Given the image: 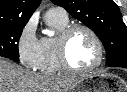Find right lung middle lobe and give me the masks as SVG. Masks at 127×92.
<instances>
[{"mask_svg":"<svg viewBox=\"0 0 127 92\" xmlns=\"http://www.w3.org/2000/svg\"><path fill=\"white\" fill-rule=\"evenodd\" d=\"M24 26L0 27V57L19 59L18 42Z\"/></svg>","mask_w":127,"mask_h":92,"instance_id":"1","label":"right lung middle lobe"}]
</instances>
